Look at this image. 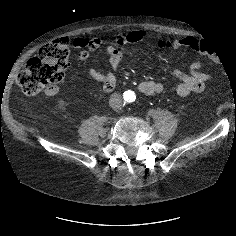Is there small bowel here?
Returning a JSON list of instances; mask_svg holds the SVG:
<instances>
[{
  "label": "small bowel",
  "mask_w": 236,
  "mask_h": 236,
  "mask_svg": "<svg viewBox=\"0 0 236 236\" xmlns=\"http://www.w3.org/2000/svg\"><path fill=\"white\" fill-rule=\"evenodd\" d=\"M146 38V34L143 31H129L120 33L114 44L107 45L105 48V53L108 56L110 65L115 71H118L123 58V53L121 47L143 41ZM202 40L197 39L194 36H185L172 41V45L175 47H191L193 43H202ZM74 46L77 48H83L79 54V58L88 62V74L89 76L99 82L102 85V89L105 92L112 91L117 83V78L113 73H103L96 69L91 63V56L94 51L99 49L103 41L101 38H84L77 37L74 39ZM202 63L199 61L193 62L190 65L189 71L185 72L183 70L174 68L171 73L180 82L176 86V92L181 97H187L191 94L201 93L205 89L206 83L211 79L210 74L200 72ZM163 84L157 81H142L138 84V90L145 95L158 94L163 91ZM59 91L57 85L49 86L45 94L49 97L56 95Z\"/></svg>",
  "instance_id": "1"
}]
</instances>
